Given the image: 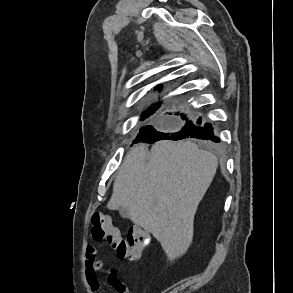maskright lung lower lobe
Instances as JSON below:
<instances>
[{
  "instance_id": "98d812e1",
  "label": "right lung lower lobe",
  "mask_w": 293,
  "mask_h": 293,
  "mask_svg": "<svg viewBox=\"0 0 293 293\" xmlns=\"http://www.w3.org/2000/svg\"><path fill=\"white\" fill-rule=\"evenodd\" d=\"M178 115V113H177ZM181 119L185 120L186 123L182 127V129L178 132H159L154 129L153 126L148 125L145 127H142L140 129V132L134 142H148V143H154L158 140L162 139H171V140H179L184 138H198V139H204V140H212L214 142H219V138L214 136L213 134V127L211 124H204L201 121V118L196 120H189L188 117H186L184 114H180Z\"/></svg>"
}]
</instances>
